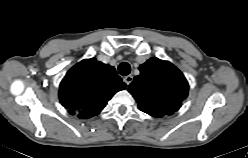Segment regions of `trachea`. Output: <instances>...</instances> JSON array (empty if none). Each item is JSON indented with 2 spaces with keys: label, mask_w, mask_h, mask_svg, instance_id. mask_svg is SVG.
<instances>
[{
  "label": "trachea",
  "mask_w": 248,
  "mask_h": 158,
  "mask_svg": "<svg viewBox=\"0 0 248 158\" xmlns=\"http://www.w3.org/2000/svg\"><path fill=\"white\" fill-rule=\"evenodd\" d=\"M118 71L121 75L126 76L131 71L130 65L126 62H122L118 67Z\"/></svg>",
  "instance_id": "1"
}]
</instances>
